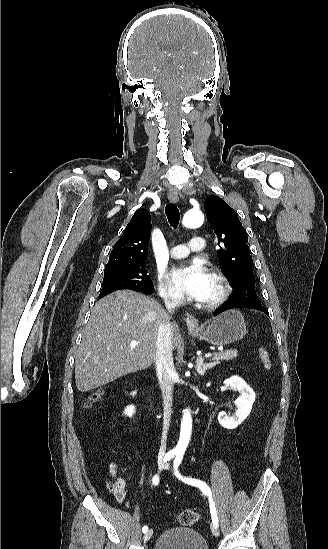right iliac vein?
Listing matches in <instances>:
<instances>
[{
  "mask_svg": "<svg viewBox=\"0 0 328 549\" xmlns=\"http://www.w3.org/2000/svg\"><path fill=\"white\" fill-rule=\"evenodd\" d=\"M160 465L162 466V461L160 462ZM152 535H153V529H149V530L145 533V535H144V537H143V538H144V541L146 542V541L150 540V538L152 537Z\"/></svg>",
  "mask_w": 328,
  "mask_h": 549,
  "instance_id": "obj_1",
  "label": "right iliac vein"
}]
</instances>
